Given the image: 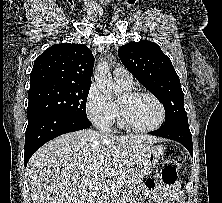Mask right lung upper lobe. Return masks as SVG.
Segmentation results:
<instances>
[{
  "mask_svg": "<svg viewBox=\"0 0 222 203\" xmlns=\"http://www.w3.org/2000/svg\"><path fill=\"white\" fill-rule=\"evenodd\" d=\"M93 66L92 52L84 44H55L35 60L29 90L59 85H91Z\"/></svg>",
  "mask_w": 222,
  "mask_h": 203,
  "instance_id": "obj_1",
  "label": "right lung upper lobe"
}]
</instances>
